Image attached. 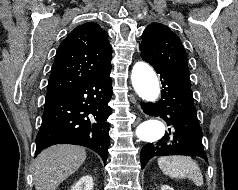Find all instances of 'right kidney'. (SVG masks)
<instances>
[{"mask_svg": "<svg viewBox=\"0 0 238 190\" xmlns=\"http://www.w3.org/2000/svg\"><path fill=\"white\" fill-rule=\"evenodd\" d=\"M71 190H93V179L91 176L86 175L82 177Z\"/></svg>", "mask_w": 238, "mask_h": 190, "instance_id": "ca27d5eb", "label": "right kidney"}]
</instances>
